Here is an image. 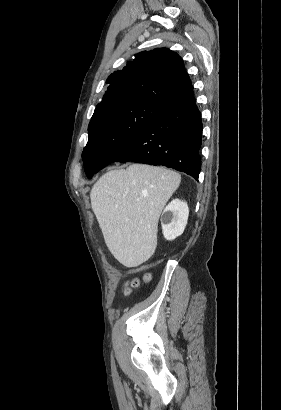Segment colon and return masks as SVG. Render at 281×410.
<instances>
[{
    "label": "colon",
    "mask_w": 281,
    "mask_h": 410,
    "mask_svg": "<svg viewBox=\"0 0 281 410\" xmlns=\"http://www.w3.org/2000/svg\"><path fill=\"white\" fill-rule=\"evenodd\" d=\"M149 278H150V275H149V274H145L143 280H144V281H148ZM139 284H140V281H139L138 279H134V280H132V281H130V282H127V283L125 284V287H124L125 293H126V294L130 293L131 290L134 289V288H136V287H138Z\"/></svg>",
    "instance_id": "5ec220e1"
}]
</instances>
